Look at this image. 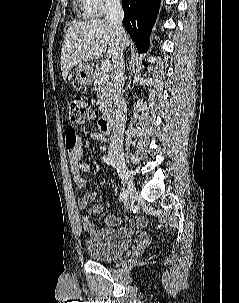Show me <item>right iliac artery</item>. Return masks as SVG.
I'll list each match as a JSON object with an SVG mask.
<instances>
[{
  "instance_id": "1",
  "label": "right iliac artery",
  "mask_w": 239,
  "mask_h": 303,
  "mask_svg": "<svg viewBox=\"0 0 239 303\" xmlns=\"http://www.w3.org/2000/svg\"><path fill=\"white\" fill-rule=\"evenodd\" d=\"M103 161L108 164L111 165L113 167H115L117 169L118 172V176H119V181L120 182H124L125 181V171H121L120 166H118V164L116 165V161L111 158L110 156L104 155L103 156ZM127 198V190L125 188L122 189V192L120 193L119 199L120 201H124Z\"/></svg>"
}]
</instances>
